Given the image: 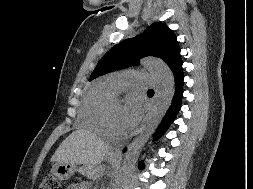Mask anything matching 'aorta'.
<instances>
[{"label":"aorta","mask_w":253,"mask_h":189,"mask_svg":"<svg viewBox=\"0 0 253 189\" xmlns=\"http://www.w3.org/2000/svg\"><path fill=\"white\" fill-rule=\"evenodd\" d=\"M141 64L154 74L157 81V90L138 134L128 147L123 166L113 189H121L123 180L135 168L143 147L167 112L175 92L174 75L167 64L153 58H146Z\"/></svg>","instance_id":"762f6f07"}]
</instances>
